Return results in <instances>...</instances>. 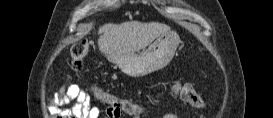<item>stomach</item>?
Here are the masks:
<instances>
[{
    "label": "stomach",
    "mask_w": 273,
    "mask_h": 118,
    "mask_svg": "<svg viewBox=\"0 0 273 118\" xmlns=\"http://www.w3.org/2000/svg\"><path fill=\"white\" fill-rule=\"evenodd\" d=\"M180 37L174 31L161 34L141 52L124 55H111L108 60L117 65L130 77H142L167 66L180 44Z\"/></svg>",
    "instance_id": "0dacf381"
}]
</instances>
